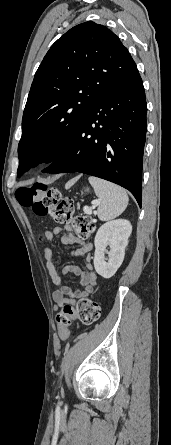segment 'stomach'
Here are the masks:
<instances>
[{"label": "stomach", "mask_w": 171, "mask_h": 445, "mask_svg": "<svg viewBox=\"0 0 171 445\" xmlns=\"http://www.w3.org/2000/svg\"><path fill=\"white\" fill-rule=\"evenodd\" d=\"M85 191L88 192V191H89V188H86Z\"/></svg>", "instance_id": "obj_1"}]
</instances>
